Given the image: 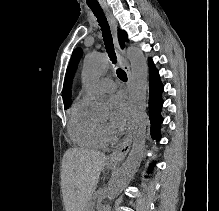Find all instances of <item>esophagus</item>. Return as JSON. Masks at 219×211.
Segmentation results:
<instances>
[{
  "label": "esophagus",
  "instance_id": "obj_1",
  "mask_svg": "<svg viewBox=\"0 0 219 211\" xmlns=\"http://www.w3.org/2000/svg\"><path fill=\"white\" fill-rule=\"evenodd\" d=\"M102 8L106 14V17L108 19L111 28L118 63L121 66V68H123V70L126 72L128 77L127 86L130 96L132 90V75H131L130 66L124 57V51L122 50L118 41L117 20L112 15L107 5H102ZM133 129L134 126L132 124V120H130L125 138L120 144H118V146L114 148L113 152L108 156V163L119 165L120 163H122V161H124L132 144Z\"/></svg>",
  "mask_w": 219,
  "mask_h": 211
}]
</instances>
